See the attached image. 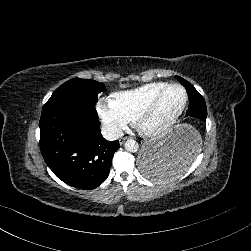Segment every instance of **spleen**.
<instances>
[{"instance_id": "3e777b00", "label": "spleen", "mask_w": 251, "mask_h": 251, "mask_svg": "<svg viewBox=\"0 0 251 251\" xmlns=\"http://www.w3.org/2000/svg\"><path fill=\"white\" fill-rule=\"evenodd\" d=\"M202 144V140L200 142ZM201 146H195L193 151H189L184 155V158L181 159V165L178 168V173H175L174 170H171L169 167H152L147 177L153 178L154 180L161 182V181H167L169 179H175L181 176L183 173H185L193 160L194 153H197L200 150Z\"/></svg>"}]
</instances>
